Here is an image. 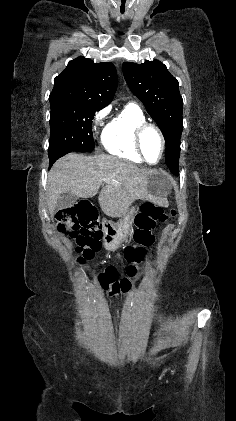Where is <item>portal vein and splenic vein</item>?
<instances>
[{
    "mask_svg": "<svg viewBox=\"0 0 236 421\" xmlns=\"http://www.w3.org/2000/svg\"><path fill=\"white\" fill-rule=\"evenodd\" d=\"M101 180H105V182H110L111 178H101Z\"/></svg>",
    "mask_w": 236,
    "mask_h": 421,
    "instance_id": "1",
    "label": "portal vein and splenic vein"
}]
</instances>
